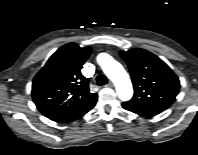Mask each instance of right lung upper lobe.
<instances>
[{
  "label": "right lung upper lobe",
  "mask_w": 198,
  "mask_h": 155,
  "mask_svg": "<svg viewBox=\"0 0 198 155\" xmlns=\"http://www.w3.org/2000/svg\"><path fill=\"white\" fill-rule=\"evenodd\" d=\"M91 48L68 43L59 48L33 80L32 97L39 111L60 122L93 102L97 94L89 91L88 79L81 74Z\"/></svg>",
  "instance_id": "right-lung-upper-lobe-1"
}]
</instances>
